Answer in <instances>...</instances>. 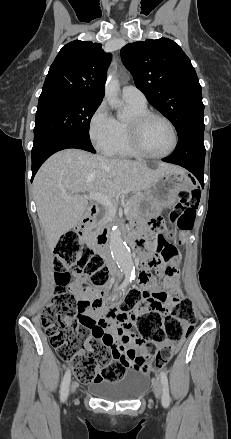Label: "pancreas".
<instances>
[{"label": "pancreas", "mask_w": 231, "mask_h": 439, "mask_svg": "<svg viewBox=\"0 0 231 439\" xmlns=\"http://www.w3.org/2000/svg\"><path fill=\"white\" fill-rule=\"evenodd\" d=\"M141 199L142 198H141L140 194H135V195L131 196L126 201L125 207L129 208V211L127 213L128 220H131L137 216V214L139 212V205H140ZM111 220H112L111 214L109 212H106L105 215L103 216V218L101 219L100 223L105 224Z\"/></svg>", "instance_id": "cf45deb5"}]
</instances>
